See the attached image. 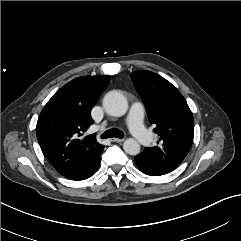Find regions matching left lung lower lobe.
I'll list each match as a JSON object with an SVG mask.
<instances>
[{"label": "left lung lower lobe", "instance_id": "0a47b994", "mask_svg": "<svg viewBox=\"0 0 241 241\" xmlns=\"http://www.w3.org/2000/svg\"><path fill=\"white\" fill-rule=\"evenodd\" d=\"M135 163L138 166L140 171L150 176H160L174 170L172 168L165 167V166L147 165V164L141 163L137 157H135Z\"/></svg>", "mask_w": 241, "mask_h": 241}]
</instances>
